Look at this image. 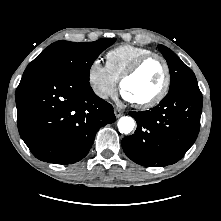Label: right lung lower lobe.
I'll use <instances>...</instances> for the list:
<instances>
[{
  "label": "right lung lower lobe",
  "instance_id": "obj_1",
  "mask_svg": "<svg viewBox=\"0 0 221 221\" xmlns=\"http://www.w3.org/2000/svg\"><path fill=\"white\" fill-rule=\"evenodd\" d=\"M21 138L45 162L73 164L90 150L96 132L116 117L87 80L51 70L25 71L16 90Z\"/></svg>",
  "mask_w": 221,
  "mask_h": 221
}]
</instances>
